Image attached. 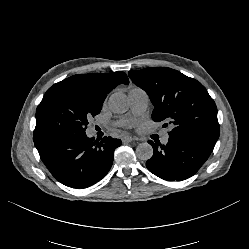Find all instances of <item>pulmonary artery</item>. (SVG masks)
<instances>
[{
	"instance_id": "e3ab8cb5",
	"label": "pulmonary artery",
	"mask_w": 249,
	"mask_h": 249,
	"mask_svg": "<svg viewBox=\"0 0 249 249\" xmlns=\"http://www.w3.org/2000/svg\"><path fill=\"white\" fill-rule=\"evenodd\" d=\"M129 98L131 101V111L133 114L139 115V114H142L146 110L148 103H149V96L146 93V91L140 88H134L130 90ZM125 124H126V121H118L115 123V125H118V126H123ZM168 140H169V133L164 132L161 136V141L163 144H167Z\"/></svg>"
}]
</instances>
